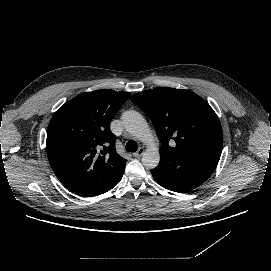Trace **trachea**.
I'll return each mask as SVG.
<instances>
[{
	"instance_id": "3493384b",
	"label": "trachea",
	"mask_w": 271,
	"mask_h": 271,
	"mask_svg": "<svg viewBox=\"0 0 271 271\" xmlns=\"http://www.w3.org/2000/svg\"><path fill=\"white\" fill-rule=\"evenodd\" d=\"M137 148V143L134 140H130L126 143V150L128 152H136Z\"/></svg>"
}]
</instances>
